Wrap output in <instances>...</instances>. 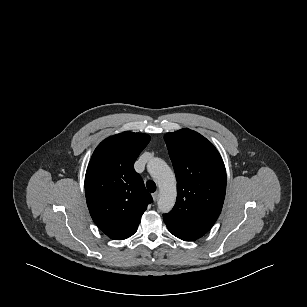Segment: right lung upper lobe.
<instances>
[{"label": "right lung upper lobe", "mask_w": 307, "mask_h": 307, "mask_svg": "<svg viewBox=\"0 0 307 307\" xmlns=\"http://www.w3.org/2000/svg\"><path fill=\"white\" fill-rule=\"evenodd\" d=\"M150 137L125 131L103 140L95 149L85 176L90 215L110 238L123 240L138 228L147 205L153 201L134 162Z\"/></svg>", "instance_id": "obj_1"}]
</instances>
